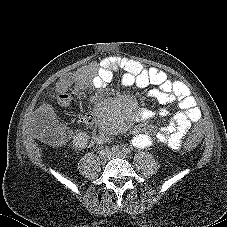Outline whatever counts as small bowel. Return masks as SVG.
I'll return each instance as SVG.
<instances>
[{
    "label": "small bowel",
    "mask_w": 227,
    "mask_h": 227,
    "mask_svg": "<svg viewBox=\"0 0 227 227\" xmlns=\"http://www.w3.org/2000/svg\"><path fill=\"white\" fill-rule=\"evenodd\" d=\"M117 71H123L121 82L124 86L146 88L153 85L155 87L148 92L151 98L162 105L177 103L179 107L172 121L160 129L152 126L139 127L132 136V143L138 148H148L159 142L171 151H178L192 125L199 121L201 112L189 88L181 81L169 79L167 74L158 68H146L140 62L126 57H106L98 63L77 69L57 82L56 89L64 96L59 100L60 105H69L72 95L85 89L103 90L113 80ZM41 111L43 114L52 115L48 106H43ZM160 113L166 115L168 111L163 108ZM153 116L154 113L147 109L139 113L140 121H148ZM80 120L84 123L90 122L85 115L81 116Z\"/></svg>",
    "instance_id": "c3829d8e"
}]
</instances>
